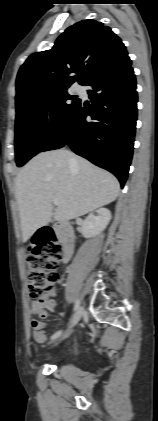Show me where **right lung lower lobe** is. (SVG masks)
Returning <instances> with one entry per match:
<instances>
[{"instance_id": "obj_1", "label": "right lung lower lobe", "mask_w": 158, "mask_h": 421, "mask_svg": "<svg viewBox=\"0 0 158 421\" xmlns=\"http://www.w3.org/2000/svg\"><path fill=\"white\" fill-rule=\"evenodd\" d=\"M85 86L91 105L82 102L41 150L68 144L78 155L113 173L124 186L133 154L137 92L127 51L100 69ZM91 116L92 121L86 117Z\"/></svg>"}]
</instances>
